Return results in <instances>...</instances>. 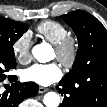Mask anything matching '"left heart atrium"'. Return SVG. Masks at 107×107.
<instances>
[{
	"label": "left heart atrium",
	"mask_w": 107,
	"mask_h": 107,
	"mask_svg": "<svg viewBox=\"0 0 107 107\" xmlns=\"http://www.w3.org/2000/svg\"><path fill=\"white\" fill-rule=\"evenodd\" d=\"M62 72L56 63L34 64L23 71V79L48 86L61 78Z\"/></svg>",
	"instance_id": "obj_1"
}]
</instances>
